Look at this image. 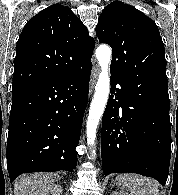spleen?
Segmentation results:
<instances>
[{"label": "spleen", "instance_id": "3e777b00", "mask_svg": "<svg viewBox=\"0 0 178 195\" xmlns=\"http://www.w3.org/2000/svg\"><path fill=\"white\" fill-rule=\"evenodd\" d=\"M116 184L130 191V195H159L155 180L137 174H119Z\"/></svg>", "mask_w": 178, "mask_h": 195}]
</instances>
